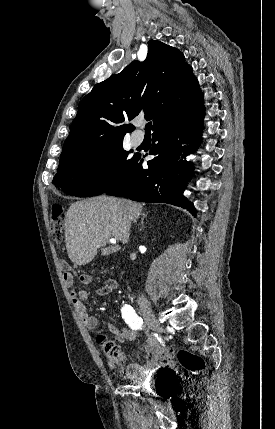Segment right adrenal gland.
I'll return each instance as SVG.
<instances>
[{"label": "right adrenal gland", "instance_id": "2a0ac1e0", "mask_svg": "<svg viewBox=\"0 0 275 429\" xmlns=\"http://www.w3.org/2000/svg\"><path fill=\"white\" fill-rule=\"evenodd\" d=\"M149 212H146V213H143V216H142V218H141V225H142V227H144V225H143V221H144V218L147 216V214H148ZM141 230V229H140Z\"/></svg>", "mask_w": 275, "mask_h": 429}]
</instances>
